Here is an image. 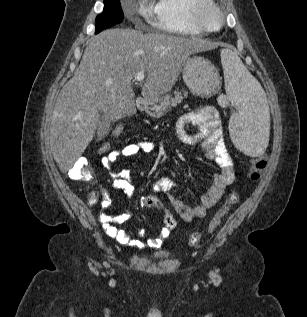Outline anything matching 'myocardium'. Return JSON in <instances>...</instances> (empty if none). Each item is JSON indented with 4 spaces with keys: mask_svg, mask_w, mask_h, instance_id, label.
<instances>
[{
    "mask_svg": "<svg viewBox=\"0 0 307 317\" xmlns=\"http://www.w3.org/2000/svg\"><path fill=\"white\" fill-rule=\"evenodd\" d=\"M208 11H212L217 16L218 23L215 27L209 26L206 21V13ZM191 12L193 21L204 32H216L223 26V12L213 0H199V2L192 7Z\"/></svg>",
    "mask_w": 307,
    "mask_h": 317,
    "instance_id": "obj_1",
    "label": "myocardium"
}]
</instances>
